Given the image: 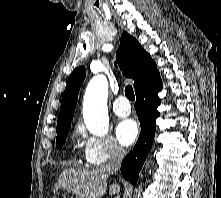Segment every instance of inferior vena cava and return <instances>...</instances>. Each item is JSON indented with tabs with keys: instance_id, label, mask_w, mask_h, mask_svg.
<instances>
[{
	"instance_id": "1",
	"label": "inferior vena cava",
	"mask_w": 221,
	"mask_h": 198,
	"mask_svg": "<svg viewBox=\"0 0 221 198\" xmlns=\"http://www.w3.org/2000/svg\"><path fill=\"white\" fill-rule=\"evenodd\" d=\"M125 150L120 146H114L110 152V157L107 164L104 166V170L116 174L120 168L122 159L124 158Z\"/></svg>"
}]
</instances>
